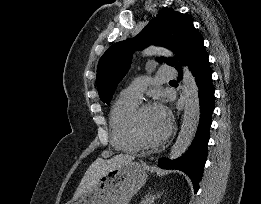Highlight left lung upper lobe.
<instances>
[{
	"instance_id": "obj_1",
	"label": "left lung upper lobe",
	"mask_w": 261,
	"mask_h": 204,
	"mask_svg": "<svg viewBox=\"0 0 261 204\" xmlns=\"http://www.w3.org/2000/svg\"><path fill=\"white\" fill-rule=\"evenodd\" d=\"M197 33L192 20L185 14L172 9L160 11L135 38L113 44L102 55L96 77L100 99L110 103L118 83L130 67L134 50H142L149 45L163 46L172 50L176 58L182 60ZM157 60L175 68L180 65L173 58Z\"/></svg>"
}]
</instances>
